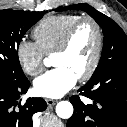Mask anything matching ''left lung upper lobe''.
I'll use <instances>...</instances> for the list:
<instances>
[{
	"instance_id": "left-lung-upper-lobe-1",
	"label": "left lung upper lobe",
	"mask_w": 127,
	"mask_h": 127,
	"mask_svg": "<svg viewBox=\"0 0 127 127\" xmlns=\"http://www.w3.org/2000/svg\"><path fill=\"white\" fill-rule=\"evenodd\" d=\"M72 9L87 12L103 29L104 45L102 55L91 78L114 66L127 65V36L119 25L87 4L70 5L57 9L56 11Z\"/></svg>"
}]
</instances>
